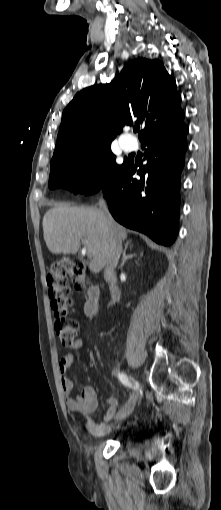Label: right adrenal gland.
I'll use <instances>...</instances> for the list:
<instances>
[{
  "mask_svg": "<svg viewBox=\"0 0 221 510\" xmlns=\"http://www.w3.org/2000/svg\"><path fill=\"white\" fill-rule=\"evenodd\" d=\"M129 245H130V243H129V242H127V243L125 244V247H124V250H123V253H122V262H121V267L124 265V263H125L128 259H131V258H133L134 256H136V254H135V253H134V254H128V255L126 254V251H127V249H128V246H129Z\"/></svg>",
  "mask_w": 221,
  "mask_h": 510,
  "instance_id": "2a0ac1e0",
  "label": "right adrenal gland"
}]
</instances>
